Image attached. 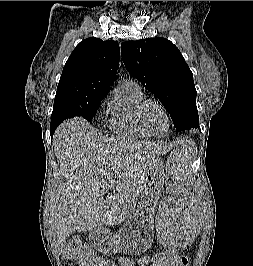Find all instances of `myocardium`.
Masks as SVG:
<instances>
[{
    "label": "myocardium",
    "mask_w": 253,
    "mask_h": 266,
    "mask_svg": "<svg viewBox=\"0 0 253 266\" xmlns=\"http://www.w3.org/2000/svg\"><path fill=\"white\" fill-rule=\"evenodd\" d=\"M156 104L157 106H159L161 108V110L163 111V113L165 114L166 120H167V129L166 131L162 134V135H157L152 133L144 124L143 122V111L145 109V107L148 104ZM136 122L139 126V128L147 135L150 137H155V138H162L165 137L170 129H171V119L169 116V113L166 109V107L157 99H153V98H144L143 100L140 101V103L138 104L137 108H136Z\"/></svg>",
    "instance_id": "obj_1"
}]
</instances>
